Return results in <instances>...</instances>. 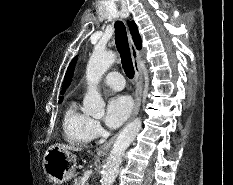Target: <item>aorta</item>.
I'll return each mask as SVG.
<instances>
[{"label": "aorta", "mask_w": 233, "mask_h": 185, "mask_svg": "<svg viewBox=\"0 0 233 185\" xmlns=\"http://www.w3.org/2000/svg\"><path fill=\"white\" fill-rule=\"evenodd\" d=\"M116 54L112 51L95 49L86 68L88 90L83 100V111L86 115L101 118L105 112V102L97 90L103 74L115 62ZM142 121L136 118L126 125L116 138L107 158L102 174L101 185H112L122 163L125 150L134 141L141 130Z\"/></svg>", "instance_id": "aorta-1"}]
</instances>
